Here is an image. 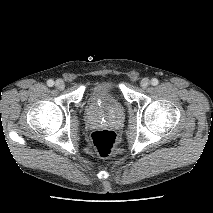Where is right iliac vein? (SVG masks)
I'll return each mask as SVG.
<instances>
[{
    "instance_id": "right-iliac-vein-1",
    "label": "right iliac vein",
    "mask_w": 213,
    "mask_h": 213,
    "mask_svg": "<svg viewBox=\"0 0 213 213\" xmlns=\"http://www.w3.org/2000/svg\"><path fill=\"white\" fill-rule=\"evenodd\" d=\"M55 86H56L57 89L63 90V89L65 88V83H64L63 80L58 79V80H56V82H55Z\"/></svg>"
}]
</instances>
